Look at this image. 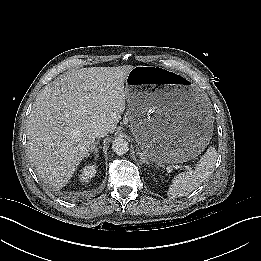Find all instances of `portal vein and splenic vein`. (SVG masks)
<instances>
[{
	"instance_id": "1",
	"label": "portal vein and splenic vein",
	"mask_w": 261,
	"mask_h": 261,
	"mask_svg": "<svg viewBox=\"0 0 261 261\" xmlns=\"http://www.w3.org/2000/svg\"><path fill=\"white\" fill-rule=\"evenodd\" d=\"M169 167H173V168H176V169H179V168H182V167H180V166H178V165H173V166H169ZM186 169H188V170H190L191 169V167H185Z\"/></svg>"
}]
</instances>
